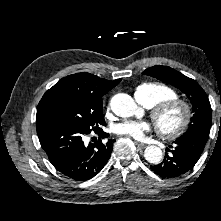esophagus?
<instances>
[{
    "label": "esophagus",
    "instance_id": "34e87169",
    "mask_svg": "<svg viewBox=\"0 0 221 221\" xmlns=\"http://www.w3.org/2000/svg\"><path fill=\"white\" fill-rule=\"evenodd\" d=\"M136 146H137L138 149H144L146 147V144L136 142Z\"/></svg>",
    "mask_w": 221,
    "mask_h": 221
}]
</instances>
